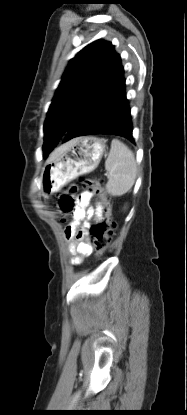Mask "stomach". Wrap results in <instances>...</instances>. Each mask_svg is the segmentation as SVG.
<instances>
[{
    "label": "stomach",
    "mask_w": 187,
    "mask_h": 415,
    "mask_svg": "<svg viewBox=\"0 0 187 415\" xmlns=\"http://www.w3.org/2000/svg\"><path fill=\"white\" fill-rule=\"evenodd\" d=\"M106 150V140L93 136L71 141L68 149L48 161L41 174V192L48 196L78 176L93 171Z\"/></svg>",
    "instance_id": "1"
}]
</instances>
